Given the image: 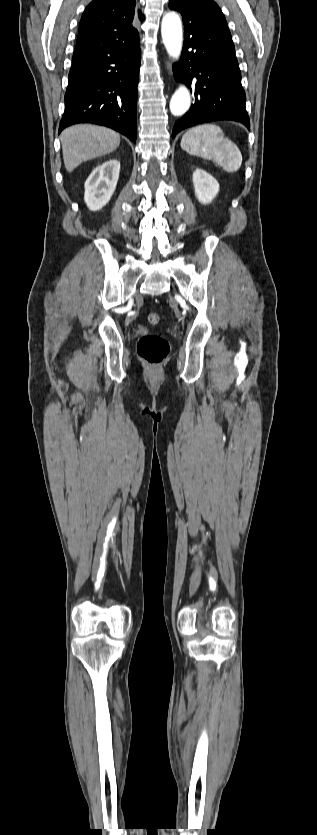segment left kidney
<instances>
[{"instance_id":"1","label":"left kidney","mask_w":317,"mask_h":835,"mask_svg":"<svg viewBox=\"0 0 317 835\" xmlns=\"http://www.w3.org/2000/svg\"><path fill=\"white\" fill-rule=\"evenodd\" d=\"M193 186L196 198L203 205L209 204L219 192L218 181L205 170L197 168L193 172Z\"/></svg>"}]
</instances>
